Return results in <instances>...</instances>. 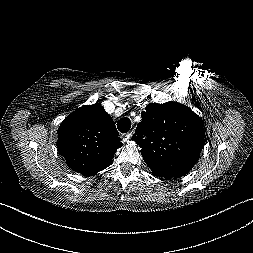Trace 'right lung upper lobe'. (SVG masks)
Returning <instances> with one entry per match:
<instances>
[{"instance_id":"1","label":"right lung upper lobe","mask_w":253,"mask_h":253,"mask_svg":"<svg viewBox=\"0 0 253 253\" xmlns=\"http://www.w3.org/2000/svg\"><path fill=\"white\" fill-rule=\"evenodd\" d=\"M57 146L73 171L90 176L110 165L122 142L111 116L95 103L78 108L63 120Z\"/></svg>"}]
</instances>
